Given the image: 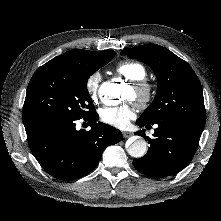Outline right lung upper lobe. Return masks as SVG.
Masks as SVG:
<instances>
[{"label":"right lung upper lobe","instance_id":"cb5924a9","mask_svg":"<svg viewBox=\"0 0 221 221\" xmlns=\"http://www.w3.org/2000/svg\"><path fill=\"white\" fill-rule=\"evenodd\" d=\"M109 51H113V50H108V51H103V52H94V51H88V50H82V49H73L60 56L53 58L46 64L55 65V66L81 65L85 62H88L94 56L99 55V54H105Z\"/></svg>","mask_w":221,"mask_h":221}]
</instances>
